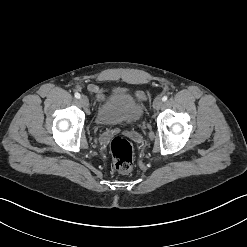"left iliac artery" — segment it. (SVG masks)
<instances>
[{
	"mask_svg": "<svg viewBox=\"0 0 247 247\" xmlns=\"http://www.w3.org/2000/svg\"><path fill=\"white\" fill-rule=\"evenodd\" d=\"M168 97L167 96H163L162 100L165 102L167 101Z\"/></svg>",
	"mask_w": 247,
	"mask_h": 247,
	"instance_id": "44dca946",
	"label": "left iliac artery"
}]
</instances>
